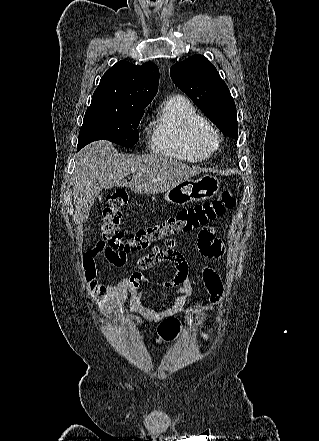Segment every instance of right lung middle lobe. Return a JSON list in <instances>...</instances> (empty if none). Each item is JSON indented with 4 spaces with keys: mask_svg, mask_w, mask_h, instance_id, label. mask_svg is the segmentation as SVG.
<instances>
[{
    "mask_svg": "<svg viewBox=\"0 0 319 441\" xmlns=\"http://www.w3.org/2000/svg\"><path fill=\"white\" fill-rule=\"evenodd\" d=\"M145 106L96 105L86 110L79 132L80 150L88 143L106 139L125 147H131L139 140L137 127L144 114Z\"/></svg>",
    "mask_w": 319,
    "mask_h": 441,
    "instance_id": "1",
    "label": "right lung middle lobe"
}]
</instances>
